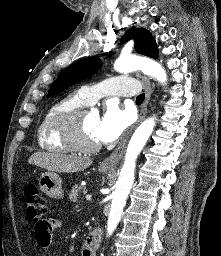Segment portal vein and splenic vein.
I'll use <instances>...</instances> for the list:
<instances>
[{"mask_svg": "<svg viewBox=\"0 0 221 256\" xmlns=\"http://www.w3.org/2000/svg\"><path fill=\"white\" fill-rule=\"evenodd\" d=\"M91 199H92V196H91V195H89V194L86 195V200H87V201H90Z\"/></svg>", "mask_w": 221, "mask_h": 256, "instance_id": "1", "label": "portal vein and splenic vein"}]
</instances>
